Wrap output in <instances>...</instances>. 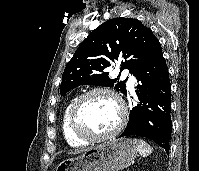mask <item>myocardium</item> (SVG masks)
Returning a JSON list of instances; mask_svg holds the SVG:
<instances>
[{
    "label": "myocardium",
    "instance_id": "myocardium-1",
    "mask_svg": "<svg viewBox=\"0 0 199 171\" xmlns=\"http://www.w3.org/2000/svg\"><path fill=\"white\" fill-rule=\"evenodd\" d=\"M95 94H106L111 96L117 103L120 111V119L116 127L102 135H95L88 132L81 124V108L83 102ZM69 120L71 130L74 135L88 142H100L117 136L123 130L128 120V108L124 99L116 91L107 87H95L83 92L73 101L70 109Z\"/></svg>",
    "mask_w": 199,
    "mask_h": 171
}]
</instances>
